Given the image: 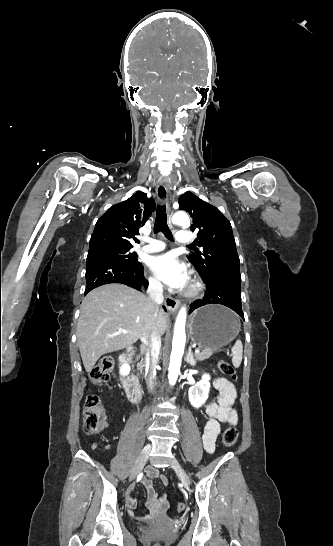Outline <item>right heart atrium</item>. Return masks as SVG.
<instances>
[{"label": "right heart atrium", "instance_id": "d8ad5b80", "mask_svg": "<svg viewBox=\"0 0 333 546\" xmlns=\"http://www.w3.org/2000/svg\"><path fill=\"white\" fill-rule=\"evenodd\" d=\"M148 283L149 286L153 289H159L160 288V282L153 276L148 277Z\"/></svg>", "mask_w": 333, "mask_h": 546}]
</instances>
